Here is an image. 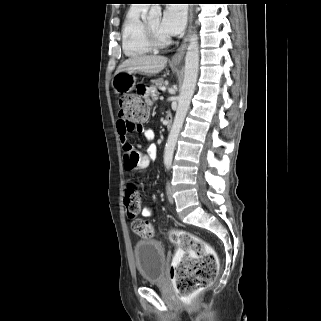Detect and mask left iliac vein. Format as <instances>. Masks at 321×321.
Instances as JSON below:
<instances>
[{
    "mask_svg": "<svg viewBox=\"0 0 321 321\" xmlns=\"http://www.w3.org/2000/svg\"><path fill=\"white\" fill-rule=\"evenodd\" d=\"M166 192H167L168 201L172 204L174 202V198H173V192H172V187L170 182L167 183Z\"/></svg>",
    "mask_w": 321,
    "mask_h": 321,
    "instance_id": "left-iliac-vein-1",
    "label": "left iliac vein"
}]
</instances>
